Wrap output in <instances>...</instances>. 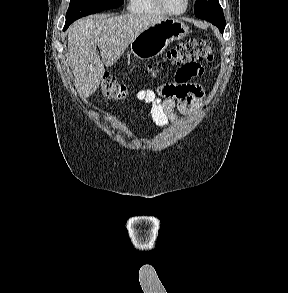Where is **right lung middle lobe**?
Here are the masks:
<instances>
[{"mask_svg": "<svg viewBox=\"0 0 288 293\" xmlns=\"http://www.w3.org/2000/svg\"><path fill=\"white\" fill-rule=\"evenodd\" d=\"M123 0H71L66 14L64 30L75 20L105 9L117 8Z\"/></svg>", "mask_w": 288, "mask_h": 293, "instance_id": "obj_1", "label": "right lung middle lobe"}]
</instances>
